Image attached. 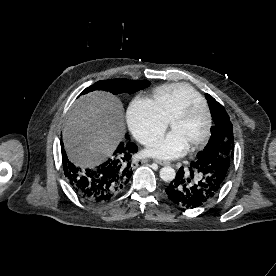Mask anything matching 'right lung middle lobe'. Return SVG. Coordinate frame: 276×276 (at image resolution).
Masks as SVG:
<instances>
[{
  "mask_svg": "<svg viewBox=\"0 0 276 276\" xmlns=\"http://www.w3.org/2000/svg\"><path fill=\"white\" fill-rule=\"evenodd\" d=\"M149 86L147 80H128V79H112L98 81L86 88L81 94H86L95 90L109 91L113 94L134 93Z\"/></svg>",
  "mask_w": 276,
  "mask_h": 276,
  "instance_id": "right-lung-middle-lobe-1",
  "label": "right lung middle lobe"
}]
</instances>
